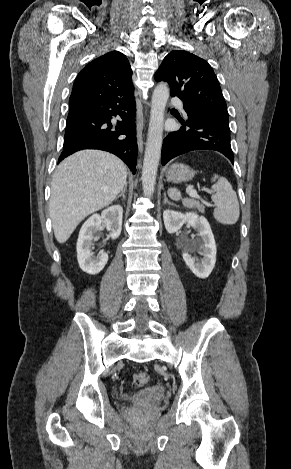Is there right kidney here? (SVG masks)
I'll use <instances>...</instances> for the list:
<instances>
[{
    "label": "right kidney",
    "instance_id": "obj_1",
    "mask_svg": "<svg viewBox=\"0 0 291 469\" xmlns=\"http://www.w3.org/2000/svg\"><path fill=\"white\" fill-rule=\"evenodd\" d=\"M123 208L120 205L111 206L103 210L102 214H94L86 220L81 227L77 241V260L80 268L90 274H98L108 261V254L100 252L94 255L95 234L100 230L101 223H106V228L111 231L112 239L119 237L122 230Z\"/></svg>",
    "mask_w": 291,
    "mask_h": 469
}]
</instances>
